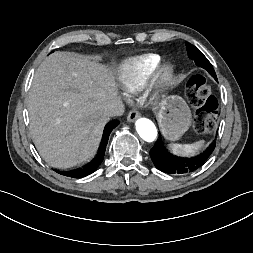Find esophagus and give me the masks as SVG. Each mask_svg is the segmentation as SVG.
I'll return each instance as SVG.
<instances>
[{"instance_id": "obj_1", "label": "esophagus", "mask_w": 253, "mask_h": 253, "mask_svg": "<svg viewBox=\"0 0 253 253\" xmlns=\"http://www.w3.org/2000/svg\"><path fill=\"white\" fill-rule=\"evenodd\" d=\"M138 116H139L138 110L133 108L132 110L129 111L127 115V121L133 122Z\"/></svg>"}]
</instances>
